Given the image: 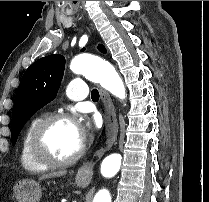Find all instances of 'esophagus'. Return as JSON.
I'll list each match as a JSON object with an SVG mask.
<instances>
[{"label":"esophagus","mask_w":209,"mask_h":202,"mask_svg":"<svg viewBox=\"0 0 209 202\" xmlns=\"http://www.w3.org/2000/svg\"><path fill=\"white\" fill-rule=\"evenodd\" d=\"M100 97L105 108L104 126L106 139L104 145L95 152L93 158L78 169L77 178L83 182L91 181L95 163L113 146L118 135V121L111 97L103 88H100Z\"/></svg>","instance_id":"1"}]
</instances>
